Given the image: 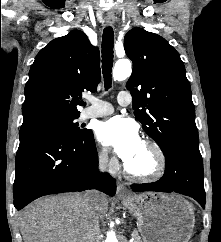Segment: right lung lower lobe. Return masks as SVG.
Here are the masks:
<instances>
[{
	"mask_svg": "<svg viewBox=\"0 0 221 242\" xmlns=\"http://www.w3.org/2000/svg\"><path fill=\"white\" fill-rule=\"evenodd\" d=\"M13 186L14 206L20 210L48 194L96 188L110 196L116 182L98 172V154L92 131L70 136L51 128L20 130Z\"/></svg>",
	"mask_w": 221,
	"mask_h": 242,
	"instance_id": "1",
	"label": "right lung lower lobe"
}]
</instances>
